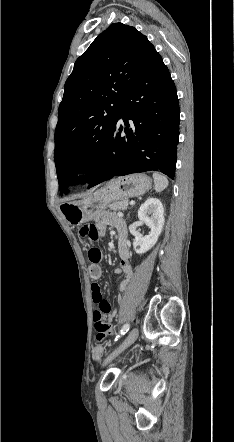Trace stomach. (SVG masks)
I'll return each instance as SVG.
<instances>
[{"label": "stomach", "instance_id": "obj_1", "mask_svg": "<svg viewBox=\"0 0 234 442\" xmlns=\"http://www.w3.org/2000/svg\"><path fill=\"white\" fill-rule=\"evenodd\" d=\"M151 186L152 181L145 174L119 177L81 200L61 204L60 209L70 224L80 225L93 220L110 203L140 196L151 189Z\"/></svg>", "mask_w": 234, "mask_h": 442}]
</instances>
